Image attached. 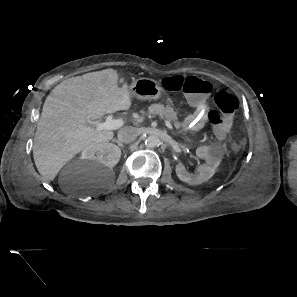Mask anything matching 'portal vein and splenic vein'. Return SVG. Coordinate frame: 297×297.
<instances>
[{
  "mask_svg": "<svg viewBox=\"0 0 297 297\" xmlns=\"http://www.w3.org/2000/svg\"><path fill=\"white\" fill-rule=\"evenodd\" d=\"M87 121L90 125L95 126L98 131L102 130H116L123 126L124 121L121 119H113L112 116H108L105 122H98V121H91L88 117ZM142 120H140L141 122ZM165 125L170 129L173 130V126L167 120H165Z\"/></svg>",
  "mask_w": 297,
  "mask_h": 297,
  "instance_id": "obj_1",
  "label": "portal vein and splenic vein"
}]
</instances>
